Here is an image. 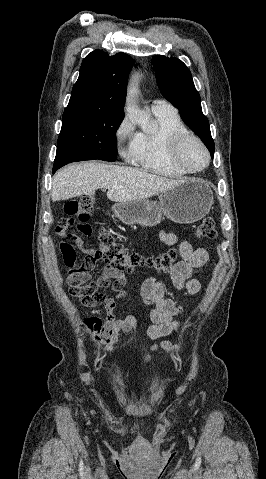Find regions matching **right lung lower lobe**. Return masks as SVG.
<instances>
[{"mask_svg":"<svg viewBox=\"0 0 266 479\" xmlns=\"http://www.w3.org/2000/svg\"><path fill=\"white\" fill-rule=\"evenodd\" d=\"M66 165V163H54V166H53V173L56 172V170H58L59 168H61L62 166Z\"/></svg>","mask_w":266,"mask_h":479,"instance_id":"obj_1","label":"right lung lower lobe"}]
</instances>
